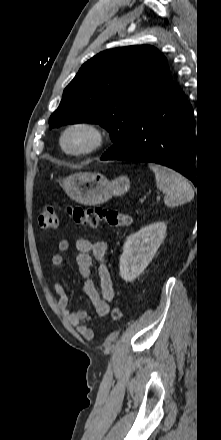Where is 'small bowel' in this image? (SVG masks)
<instances>
[{
  "instance_id": "1",
  "label": "small bowel",
  "mask_w": 221,
  "mask_h": 440,
  "mask_svg": "<svg viewBox=\"0 0 221 440\" xmlns=\"http://www.w3.org/2000/svg\"><path fill=\"white\" fill-rule=\"evenodd\" d=\"M70 248V241L63 239L59 242V252L55 253L51 262L54 267H61L64 264L63 253ZM76 265L79 275L84 279V292L87 295L93 309L98 316H106L110 311V302L114 299L112 278L108 267L103 263L107 253V244L103 241L91 242L81 238L76 241ZM100 262L97 270L99 284L98 287L92 280L93 260ZM53 290L58 298V308L74 325L78 332L87 340L94 338V330L87 325L89 315L85 310L72 311L69 307V296L64 286L55 281Z\"/></svg>"
}]
</instances>
